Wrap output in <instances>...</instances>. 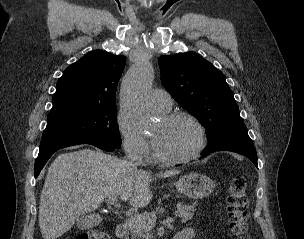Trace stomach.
Segmentation results:
<instances>
[{
	"mask_svg": "<svg viewBox=\"0 0 304 239\" xmlns=\"http://www.w3.org/2000/svg\"><path fill=\"white\" fill-rule=\"evenodd\" d=\"M176 189L189 198L201 199L215 188L213 180L200 173L185 174L175 182Z\"/></svg>",
	"mask_w": 304,
	"mask_h": 239,
	"instance_id": "obj_1",
	"label": "stomach"
}]
</instances>
